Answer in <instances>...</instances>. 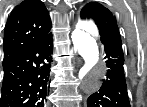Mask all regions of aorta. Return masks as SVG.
<instances>
[{
	"label": "aorta",
	"mask_w": 147,
	"mask_h": 107,
	"mask_svg": "<svg viewBox=\"0 0 147 107\" xmlns=\"http://www.w3.org/2000/svg\"><path fill=\"white\" fill-rule=\"evenodd\" d=\"M96 34L95 25L83 22L71 36L74 48L85 61L79 71V77L82 79V89L86 93L97 91L106 76V64L99 56Z\"/></svg>",
	"instance_id": "obj_1"
}]
</instances>
